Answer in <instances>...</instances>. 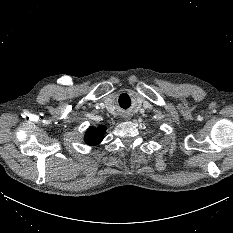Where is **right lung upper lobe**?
I'll return each mask as SVG.
<instances>
[{"instance_id": "right-lung-upper-lobe-1", "label": "right lung upper lobe", "mask_w": 233, "mask_h": 233, "mask_svg": "<svg viewBox=\"0 0 233 233\" xmlns=\"http://www.w3.org/2000/svg\"><path fill=\"white\" fill-rule=\"evenodd\" d=\"M106 127L105 126H99L97 128L90 127L85 135V142L89 145H97L99 144L104 136Z\"/></svg>"}]
</instances>
